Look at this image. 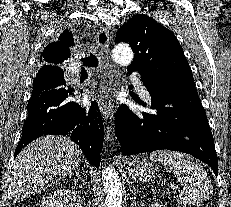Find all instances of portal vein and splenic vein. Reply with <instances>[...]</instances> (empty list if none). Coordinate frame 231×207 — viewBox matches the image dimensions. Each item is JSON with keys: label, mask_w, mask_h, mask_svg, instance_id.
<instances>
[{"label": "portal vein and splenic vein", "mask_w": 231, "mask_h": 207, "mask_svg": "<svg viewBox=\"0 0 231 207\" xmlns=\"http://www.w3.org/2000/svg\"><path fill=\"white\" fill-rule=\"evenodd\" d=\"M172 188H173V189H176V186L173 184V185H172Z\"/></svg>", "instance_id": "portal-vein-and-splenic-vein-1"}]
</instances>
